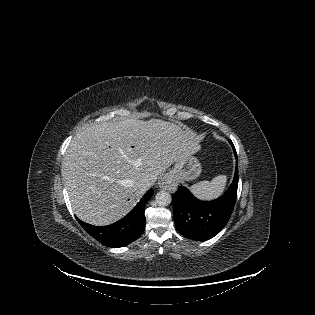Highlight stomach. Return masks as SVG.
<instances>
[{"label":"stomach","mask_w":315,"mask_h":315,"mask_svg":"<svg viewBox=\"0 0 315 315\" xmlns=\"http://www.w3.org/2000/svg\"><path fill=\"white\" fill-rule=\"evenodd\" d=\"M201 173V164L198 159L190 156L184 161L175 163L167 176L171 177L174 181H191L196 179Z\"/></svg>","instance_id":"obj_1"}]
</instances>
